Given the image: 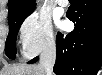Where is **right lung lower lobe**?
Masks as SVG:
<instances>
[{"mask_svg":"<svg viewBox=\"0 0 102 75\" xmlns=\"http://www.w3.org/2000/svg\"><path fill=\"white\" fill-rule=\"evenodd\" d=\"M66 16L75 23V28L66 36L57 34L54 73L96 75L101 65L102 1L72 0Z\"/></svg>","mask_w":102,"mask_h":75,"instance_id":"obj_1","label":"right lung lower lobe"}]
</instances>
